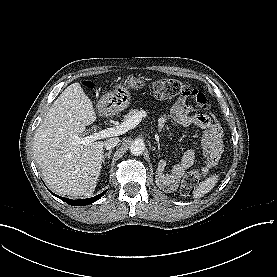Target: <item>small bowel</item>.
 <instances>
[{"instance_id":"c3829d8e","label":"small bowel","mask_w":277,"mask_h":277,"mask_svg":"<svg viewBox=\"0 0 277 277\" xmlns=\"http://www.w3.org/2000/svg\"><path fill=\"white\" fill-rule=\"evenodd\" d=\"M171 121L176 126L187 127L196 125L208 131L203 135L200 144V154L209 159L215 153H220L223 149V132L221 126L212 118L211 115L197 111L188 106L184 98H179L172 106L170 112L161 116L157 122L159 129H162ZM196 153L193 150L185 152L177 164V174L182 176L189 171L195 162Z\"/></svg>"}]
</instances>
